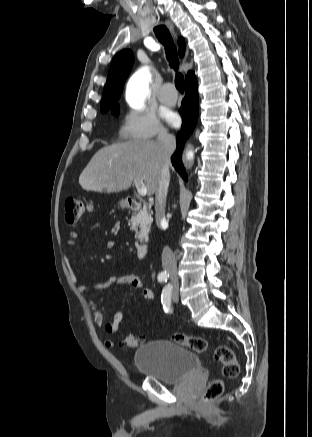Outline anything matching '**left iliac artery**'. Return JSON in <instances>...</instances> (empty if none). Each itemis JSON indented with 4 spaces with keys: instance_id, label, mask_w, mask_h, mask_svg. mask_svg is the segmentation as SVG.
Returning <instances> with one entry per match:
<instances>
[{
    "instance_id": "44dca946",
    "label": "left iliac artery",
    "mask_w": 312,
    "mask_h": 437,
    "mask_svg": "<svg viewBox=\"0 0 312 437\" xmlns=\"http://www.w3.org/2000/svg\"><path fill=\"white\" fill-rule=\"evenodd\" d=\"M172 285L168 284L162 290L161 301L165 312H170Z\"/></svg>"
}]
</instances>
